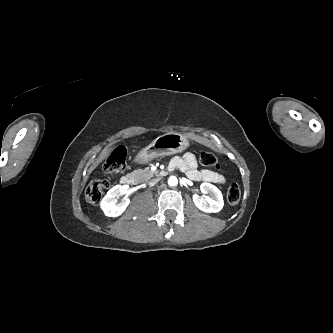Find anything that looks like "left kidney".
Masks as SVG:
<instances>
[{"instance_id": "left-kidney-1", "label": "left kidney", "mask_w": 333, "mask_h": 333, "mask_svg": "<svg viewBox=\"0 0 333 333\" xmlns=\"http://www.w3.org/2000/svg\"><path fill=\"white\" fill-rule=\"evenodd\" d=\"M200 190L203 194L208 196L200 197L199 195H193L194 204L203 212L216 213L219 212L223 206V196L221 191L210 183H202Z\"/></svg>"}]
</instances>
